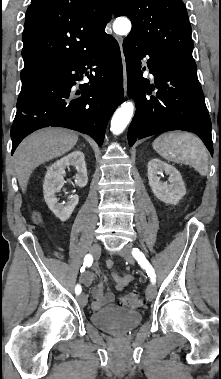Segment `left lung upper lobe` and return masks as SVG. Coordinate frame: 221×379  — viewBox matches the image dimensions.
I'll list each match as a JSON object with an SVG mask.
<instances>
[{"instance_id": "obj_1", "label": "left lung upper lobe", "mask_w": 221, "mask_h": 379, "mask_svg": "<svg viewBox=\"0 0 221 379\" xmlns=\"http://www.w3.org/2000/svg\"><path fill=\"white\" fill-rule=\"evenodd\" d=\"M113 14L132 22L130 36L174 62L196 67L188 14L182 0H111Z\"/></svg>"}]
</instances>
